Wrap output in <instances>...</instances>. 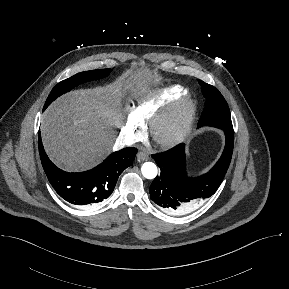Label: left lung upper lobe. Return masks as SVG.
<instances>
[{"instance_id":"1","label":"left lung upper lobe","mask_w":289,"mask_h":289,"mask_svg":"<svg viewBox=\"0 0 289 289\" xmlns=\"http://www.w3.org/2000/svg\"><path fill=\"white\" fill-rule=\"evenodd\" d=\"M202 94L207 99L198 126H213L220 129L233 128L228 104L222 94L212 85L202 80Z\"/></svg>"}]
</instances>
